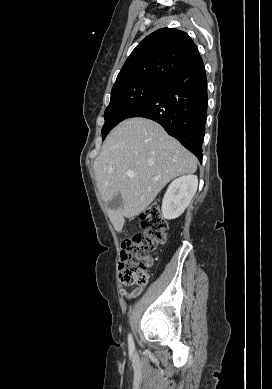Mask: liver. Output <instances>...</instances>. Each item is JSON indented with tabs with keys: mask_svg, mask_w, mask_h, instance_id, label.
<instances>
[{
	"mask_svg": "<svg viewBox=\"0 0 272 389\" xmlns=\"http://www.w3.org/2000/svg\"><path fill=\"white\" fill-rule=\"evenodd\" d=\"M93 167L103 201L118 193L122 197L121 207L109 211L115 230L121 231L125 218L145 210L169 181L195 173L197 159L158 123L136 117L111 131Z\"/></svg>",
	"mask_w": 272,
	"mask_h": 389,
	"instance_id": "1",
	"label": "liver"
}]
</instances>
